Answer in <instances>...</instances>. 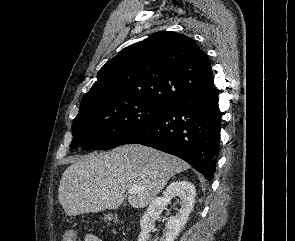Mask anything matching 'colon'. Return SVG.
<instances>
[{
  "mask_svg": "<svg viewBox=\"0 0 295 241\" xmlns=\"http://www.w3.org/2000/svg\"><path fill=\"white\" fill-rule=\"evenodd\" d=\"M76 236L73 230H67L63 235V241H75Z\"/></svg>",
  "mask_w": 295,
  "mask_h": 241,
  "instance_id": "1",
  "label": "colon"
}]
</instances>
